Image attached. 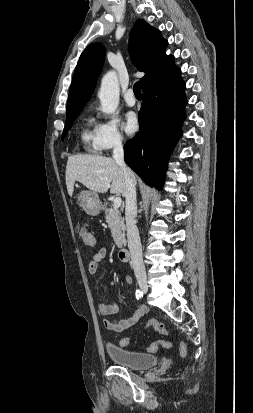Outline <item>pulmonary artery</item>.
Masks as SVG:
<instances>
[{"instance_id":"obj_1","label":"pulmonary artery","mask_w":253,"mask_h":413,"mask_svg":"<svg viewBox=\"0 0 253 413\" xmlns=\"http://www.w3.org/2000/svg\"><path fill=\"white\" fill-rule=\"evenodd\" d=\"M125 102L128 106L132 107L136 104L134 93L132 89H128L124 95Z\"/></svg>"}]
</instances>
